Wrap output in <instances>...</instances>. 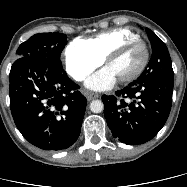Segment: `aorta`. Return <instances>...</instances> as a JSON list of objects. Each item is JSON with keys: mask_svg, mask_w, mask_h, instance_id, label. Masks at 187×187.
Returning a JSON list of instances; mask_svg holds the SVG:
<instances>
[{"mask_svg": "<svg viewBox=\"0 0 187 187\" xmlns=\"http://www.w3.org/2000/svg\"><path fill=\"white\" fill-rule=\"evenodd\" d=\"M104 109V104L101 100H93L90 103V110L93 113H101Z\"/></svg>", "mask_w": 187, "mask_h": 187, "instance_id": "1", "label": "aorta"}]
</instances>
